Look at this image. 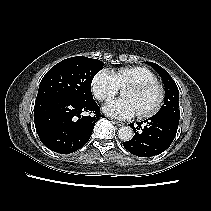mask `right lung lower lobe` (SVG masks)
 <instances>
[{
    "label": "right lung lower lobe",
    "instance_id": "98d812e1",
    "mask_svg": "<svg viewBox=\"0 0 211 211\" xmlns=\"http://www.w3.org/2000/svg\"><path fill=\"white\" fill-rule=\"evenodd\" d=\"M100 108L94 100H37L34 122L41 142L50 150L68 154L80 149L91 137ZM90 112L93 115L83 116Z\"/></svg>",
    "mask_w": 211,
    "mask_h": 211
}]
</instances>
